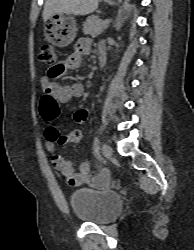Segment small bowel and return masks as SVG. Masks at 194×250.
Masks as SVG:
<instances>
[{
	"label": "small bowel",
	"mask_w": 194,
	"mask_h": 250,
	"mask_svg": "<svg viewBox=\"0 0 194 250\" xmlns=\"http://www.w3.org/2000/svg\"><path fill=\"white\" fill-rule=\"evenodd\" d=\"M92 50V44L89 39H81L74 52L69 55L65 61L56 65V75L59 77L68 70L76 69L80 67L82 63V57ZM103 48H99V52H102ZM42 87L49 92L56 100L60 102H67L72 98H79L84 94V87L80 83H73L70 85L55 83L50 80L49 75H45L41 80ZM89 110L87 108L79 109L73 115V119L77 123H83L88 117ZM51 122L53 120H45ZM46 139V148L51 153V163L53 167L58 170L65 178L69 185L80 186L87 183L90 180V164L88 161H83L79 166V171L74 172L72 162L66 159L63 155L55 152L56 142H65L71 138L60 137L57 129L53 126H49L44 132ZM81 136V134H80Z\"/></svg>",
	"instance_id": "1"
}]
</instances>
